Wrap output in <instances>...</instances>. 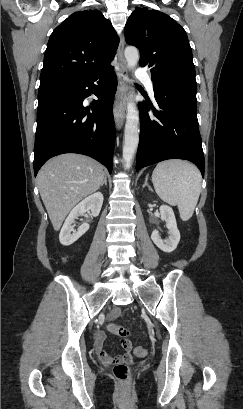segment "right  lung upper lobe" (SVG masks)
Returning a JSON list of instances; mask_svg holds the SVG:
<instances>
[{"mask_svg":"<svg viewBox=\"0 0 243 409\" xmlns=\"http://www.w3.org/2000/svg\"><path fill=\"white\" fill-rule=\"evenodd\" d=\"M118 43L111 22L99 10L75 12L51 34L40 80L85 79L109 65Z\"/></svg>","mask_w":243,"mask_h":409,"instance_id":"cb5924a9","label":"right lung upper lobe"}]
</instances>
